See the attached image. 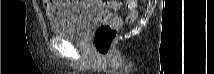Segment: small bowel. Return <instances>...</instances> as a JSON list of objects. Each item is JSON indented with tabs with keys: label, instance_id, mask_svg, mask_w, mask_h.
<instances>
[{
	"label": "small bowel",
	"instance_id": "1",
	"mask_svg": "<svg viewBox=\"0 0 214 74\" xmlns=\"http://www.w3.org/2000/svg\"><path fill=\"white\" fill-rule=\"evenodd\" d=\"M41 4L44 8L45 14L49 20H53L55 15L54 12L56 10L63 11L67 8H69L72 3L71 2H66V1H61V0H56V1H41Z\"/></svg>",
	"mask_w": 214,
	"mask_h": 74
}]
</instances>
